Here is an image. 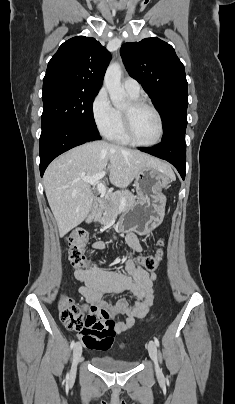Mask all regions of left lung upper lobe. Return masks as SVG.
Segmentation results:
<instances>
[{
	"instance_id": "5c2ea615",
	"label": "left lung upper lobe",
	"mask_w": 235,
	"mask_h": 404,
	"mask_svg": "<svg viewBox=\"0 0 235 404\" xmlns=\"http://www.w3.org/2000/svg\"><path fill=\"white\" fill-rule=\"evenodd\" d=\"M120 53L129 75L142 85L162 116V141L185 136L188 84L173 47L153 37L125 43Z\"/></svg>"
}]
</instances>
